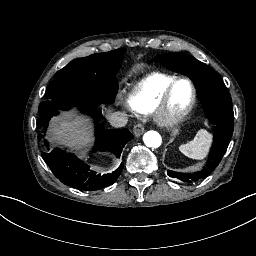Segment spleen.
<instances>
[{"label":"spleen","mask_w":256,"mask_h":256,"mask_svg":"<svg viewBox=\"0 0 256 256\" xmlns=\"http://www.w3.org/2000/svg\"><path fill=\"white\" fill-rule=\"evenodd\" d=\"M210 141V134L205 129H200L192 140L180 145L179 150L187 157L203 159L207 154Z\"/></svg>","instance_id":"1"}]
</instances>
